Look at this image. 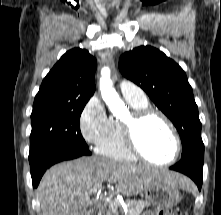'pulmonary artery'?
<instances>
[{
	"instance_id": "1",
	"label": "pulmonary artery",
	"mask_w": 221,
	"mask_h": 215,
	"mask_svg": "<svg viewBox=\"0 0 221 215\" xmlns=\"http://www.w3.org/2000/svg\"><path fill=\"white\" fill-rule=\"evenodd\" d=\"M120 92L124 98L133 99V100H145L146 96L143 91L136 86L135 84L129 81H121L120 85Z\"/></svg>"
}]
</instances>
